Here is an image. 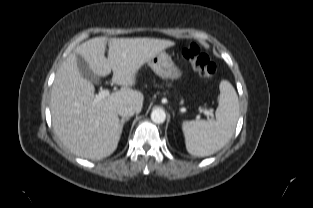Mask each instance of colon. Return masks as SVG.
Here are the masks:
<instances>
[{
	"label": "colon",
	"instance_id": "1",
	"mask_svg": "<svg viewBox=\"0 0 313 208\" xmlns=\"http://www.w3.org/2000/svg\"><path fill=\"white\" fill-rule=\"evenodd\" d=\"M183 57L193 66V68L202 76L212 78L215 76L217 67L200 47L191 43L182 50Z\"/></svg>",
	"mask_w": 313,
	"mask_h": 208
}]
</instances>
